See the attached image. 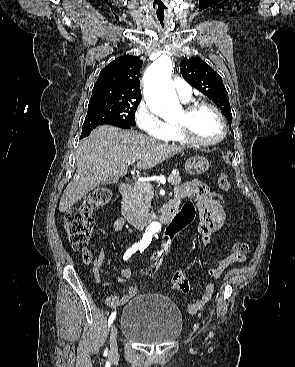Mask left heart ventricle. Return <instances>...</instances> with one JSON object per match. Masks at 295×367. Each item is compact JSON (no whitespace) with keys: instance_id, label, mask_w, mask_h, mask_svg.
I'll list each match as a JSON object with an SVG mask.
<instances>
[{"instance_id":"obj_1","label":"left heart ventricle","mask_w":295,"mask_h":367,"mask_svg":"<svg viewBox=\"0 0 295 367\" xmlns=\"http://www.w3.org/2000/svg\"><path fill=\"white\" fill-rule=\"evenodd\" d=\"M186 120V114L182 111L176 122H184ZM189 122L194 135L202 141L215 140L222 133L220 120L210 108H200L190 118Z\"/></svg>"}]
</instances>
